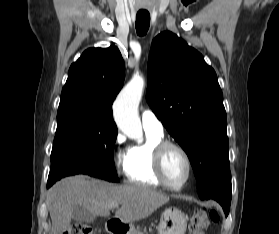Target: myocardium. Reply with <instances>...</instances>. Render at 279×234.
<instances>
[{
  "label": "myocardium",
  "mask_w": 279,
  "mask_h": 234,
  "mask_svg": "<svg viewBox=\"0 0 279 234\" xmlns=\"http://www.w3.org/2000/svg\"><path fill=\"white\" fill-rule=\"evenodd\" d=\"M170 149H175L177 150L184 158L187 166V174L184 179V181L179 184V185H174L170 183L165 175V170H164V160L167 152ZM153 165H154V171L159 179L160 183L167 187L170 190L173 191H178L184 188L187 183L190 181L193 173V164L191 157L189 153L186 151L184 147H182L180 144L168 141V140H162L161 142L157 143L154 148V158H153Z\"/></svg>",
  "instance_id": "f54148a6"
}]
</instances>
